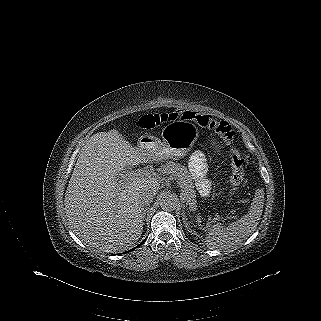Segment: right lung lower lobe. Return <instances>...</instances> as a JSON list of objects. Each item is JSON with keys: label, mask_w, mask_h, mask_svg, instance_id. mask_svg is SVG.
<instances>
[{"label": "right lung lower lobe", "mask_w": 321, "mask_h": 321, "mask_svg": "<svg viewBox=\"0 0 321 321\" xmlns=\"http://www.w3.org/2000/svg\"><path fill=\"white\" fill-rule=\"evenodd\" d=\"M142 243H143V242H142ZM142 243H141V244H142ZM141 244H139L137 247H139ZM137 247H135V248H137ZM135 248H134V249H135ZM134 249H131V250H134ZM131 250H129L128 252H130Z\"/></svg>", "instance_id": "1"}]
</instances>
